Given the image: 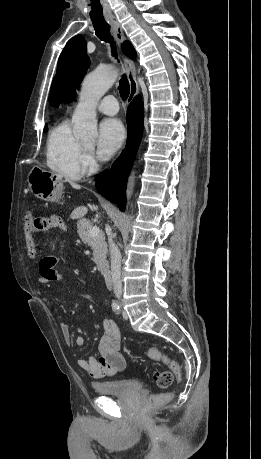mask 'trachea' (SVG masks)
<instances>
[{"instance_id": "3493384b", "label": "trachea", "mask_w": 261, "mask_h": 459, "mask_svg": "<svg viewBox=\"0 0 261 459\" xmlns=\"http://www.w3.org/2000/svg\"><path fill=\"white\" fill-rule=\"evenodd\" d=\"M96 35L103 41L108 42L111 46L112 56L117 58V49L114 38L110 33V25L105 20H92ZM119 93L123 100H126L130 93V86L125 75L122 76L119 82Z\"/></svg>"}]
</instances>
